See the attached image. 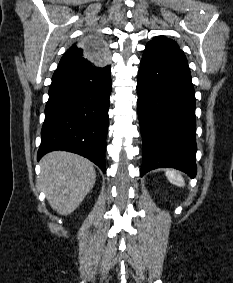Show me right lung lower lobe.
<instances>
[{"mask_svg": "<svg viewBox=\"0 0 233 283\" xmlns=\"http://www.w3.org/2000/svg\"><path fill=\"white\" fill-rule=\"evenodd\" d=\"M111 88L110 65L57 68L49 88L37 159L64 150L88 158L106 172Z\"/></svg>", "mask_w": 233, "mask_h": 283, "instance_id": "right-lung-lower-lobe-1", "label": "right lung lower lobe"}]
</instances>
